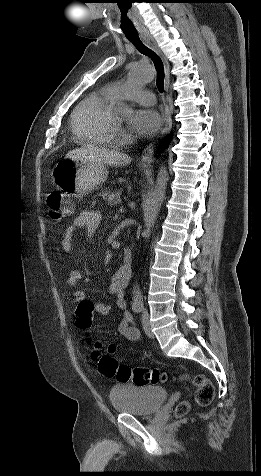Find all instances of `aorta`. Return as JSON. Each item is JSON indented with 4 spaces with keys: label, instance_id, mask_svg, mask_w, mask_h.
<instances>
[{
    "label": "aorta",
    "instance_id": "762f6f07",
    "mask_svg": "<svg viewBox=\"0 0 261 476\" xmlns=\"http://www.w3.org/2000/svg\"><path fill=\"white\" fill-rule=\"evenodd\" d=\"M154 77L153 70L148 66H134L130 69L129 72V81L131 84H142L151 81ZM116 112L120 117H128L132 113V109L125 103L119 102L116 105ZM168 181V172L165 167H161L154 190V195L151 200L150 209L148 212V223L147 226L153 224L154 219L156 218L158 212L160 211L161 205L165 200L166 187ZM149 236V229L146 230V237ZM143 296L138 286H135L133 289V305H142Z\"/></svg>",
    "mask_w": 261,
    "mask_h": 476
}]
</instances>
